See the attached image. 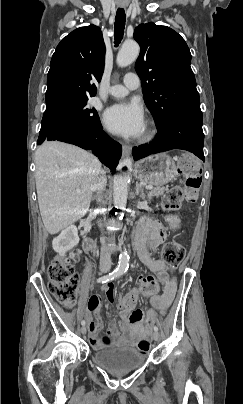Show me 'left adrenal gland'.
Segmentation results:
<instances>
[{
	"label": "left adrenal gland",
	"mask_w": 243,
	"mask_h": 404,
	"mask_svg": "<svg viewBox=\"0 0 243 404\" xmlns=\"http://www.w3.org/2000/svg\"><path fill=\"white\" fill-rule=\"evenodd\" d=\"M135 194L136 196H140L142 200H145V192H144V186H139L138 182L135 184Z\"/></svg>",
	"instance_id": "obj_1"
}]
</instances>
